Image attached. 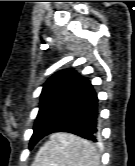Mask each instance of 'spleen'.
<instances>
[{
    "mask_svg": "<svg viewBox=\"0 0 135 166\" xmlns=\"http://www.w3.org/2000/svg\"><path fill=\"white\" fill-rule=\"evenodd\" d=\"M32 166H100V156L89 141L55 133L39 149Z\"/></svg>",
    "mask_w": 135,
    "mask_h": 166,
    "instance_id": "obj_1",
    "label": "spleen"
}]
</instances>
